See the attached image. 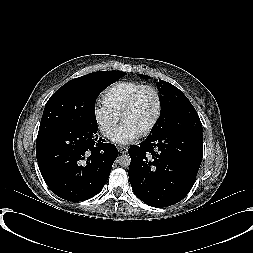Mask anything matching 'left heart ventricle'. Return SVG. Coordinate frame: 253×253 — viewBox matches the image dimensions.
Here are the masks:
<instances>
[{
    "label": "left heart ventricle",
    "mask_w": 253,
    "mask_h": 253,
    "mask_svg": "<svg viewBox=\"0 0 253 253\" xmlns=\"http://www.w3.org/2000/svg\"><path fill=\"white\" fill-rule=\"evenodd\" d=\"M157 108L156 97L151 91L144 92L135 106L125 115L123 122L143 131L152 122Z\"/></svg>",
    "instance_id": "b2bd125f"
}]
</instances>
